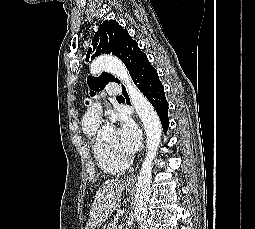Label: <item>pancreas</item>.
<instances>
[{
	"instance_id": "obj_1",
	"label": "pancreas",
	"mask_w": 255,
	"mask_h": 229,
	"mask_svg": "<svg viewBox=\"0 0 255 229\" xmlns=\"http://www.w3.org/2000/svg\"><path fill=\"white\" fill-rule=\"evenodd\" d=\"M116 224H117V221H111L109 224H108V226H107V228L106 229H114V226H116Z\"/></svg>"
}]
</instances>
